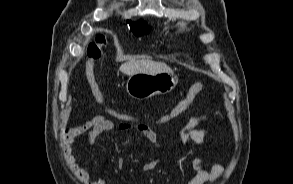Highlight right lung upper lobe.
<instances>
[{"instance_id":"cb5924a9","label":"right lung upper lobe","mask_w":293,"mask_h":184,"mask_svg":"<svg viewBox=\"0 0 293 184\" xmlns=\"http://www.w3.org/2000/svg\"><path fill=\"white\" fill-rule=\"evenodd\" d=\"M128 23L129 24H136V25H141V26H146V27H148L144 22H142V21H140V22H138V23H133V22H130V21H128Z\"/></svg>"}]
</instances>
